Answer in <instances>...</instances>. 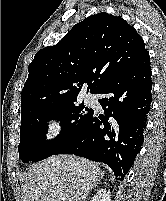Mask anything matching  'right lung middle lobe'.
<instances>
[{"label":"right lung middle lobe","mask_w":166,"mask_h":201,"mask_svg":"<svg viewBox=\"0 0 166 201\" xmlns=\"http://www.w3.org/2000/svg\"><path fill=\"white\" fill-rule=\"evenodd\" d=\"M76 100L57 107L28 112L21 115L19 158L24 163L37 162L55 154V152L69 141L91 118L94 111L79 106ZM49 120H59L62 131L59 138L51 143L46 142L44 135L45 123Z\"/></svg>","instance_id":"1"}]
</instances>
